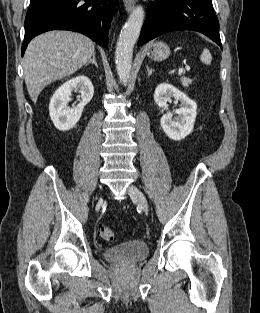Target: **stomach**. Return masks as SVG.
<instances>
[{"mask_svg":"<svg viewBox=\"0 0 260 313\" xmlns=\"http://www.w3.org/2000/svg\"><path fill=\"white\" fill-rule=\"evenodd\" d=\"M148 57L155 61H163L170 56V48L169 46L162 42H154L151 43L146 50Z\"/></svg>","mask_w":260,"mask_h":313,"instance_id":"1","label":"stomach"}]
</instances>
